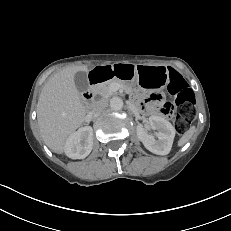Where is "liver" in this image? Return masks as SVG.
I'll use <instances>...</instances> for the list:
<instances>
[{
	"label": "liver",
	"mask_w": 231,
	"mask_h": 231,
	"mask_svg": "<svg viewBox=\"0 0 231 231\" xmlns=\"http://www.w3.org/2000/svg\"><path fill=\"white\" fill-rule=\"evenodd\" d=\"M87 66H71L54 74L39 95L37 120L45 144L55 153L65 152L66 141L84 122L86 110L74 82Z\"/></svg>",
	"instance_id": "6515ba94"
}]
</instances>
